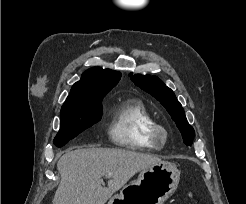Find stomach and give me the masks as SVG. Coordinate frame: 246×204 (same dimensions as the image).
Returning <instances> with one entry per match:
<instances>
[{
    "instance_id": "1",
    "label": "stomach",
    "mask_w": 246,
    "mask_h": 204,
    "mask_svg": "<svg viewBox=\"0 0 246 204\" xmlns=\"http://www.w3.org/2000/svg\"><path fill=\"white\" fill-rule=\"evenodd\" d=\"M180 171L169 162L142 170L137 180L126 185L108 204H163L177 189Z\"/></svg>"
}]
</instances>
